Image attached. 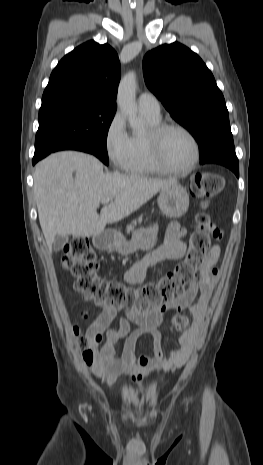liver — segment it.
I'll return each instance as SVG.
<instances>
[{"label":"liver","instance_id":"obj_1","mask_svg":"<svg viewBox=\"0 0 263 465\" xmlns=\"http://www.w3.org/2000/svg\"><path fill=\"white\" fill-rule=\"evenodd\" d=\"M175 184L176 179L104 173L103 164L85 153L64 151L48 156L35 168L34 194L49 251L57 236H95ZM104 198L113 201L99 215L97 208Z\"/></svg>","mask_w":263,"mask_h":465}]
</instances>
